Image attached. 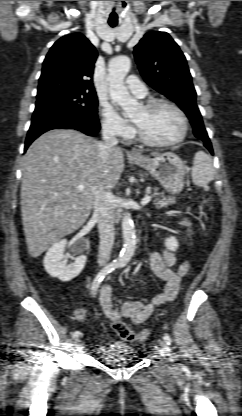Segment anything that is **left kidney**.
Wrapping results in <instances>:
<instances>
[{
	"instance_id": "obj_1",
	"label": "left kidney",
	"mask_w": 242,
	"mask_h": 416,
	"mask_svg": "<svg viewBox=\"0 0 242 416\" xmlns=\"http://www.w3.org/2000/svg\"><path fill=\"white\" fill-rule=\"evenodd\" d=\"M165 245L171 251H176L179 246L176 237L173 236L166 238Z\"/></svg>"
}]
</instances>
